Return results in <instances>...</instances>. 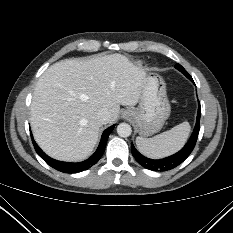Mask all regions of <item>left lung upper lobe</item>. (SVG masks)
Segmentation results:
<instances>
[{
    "label": "left lung upper lobe",
    "instance_id": "1",
    "mask_svg": "<svg viewBox=\"0 0 233 233\" xmlns=\"http://www.w3.org/2000/svg\"><path fill=\"white\" fill-rule=\"evenodd\" d=\"M175 68L181 71L186 77L190 76L188 72L180 64H176Z\"/></svg>",
    "mask_w": 233,
    "mask_h": 233
}]
</instances>
